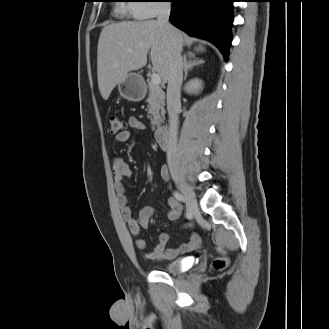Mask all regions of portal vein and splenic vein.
Returning <instances> with one entry per match:
<instances>
[{"instance_id":"portal-vein-and-splenic-vein-1","label":"portal vein and splenic vein","mask_w":329,"mask_h":329,"mask_svg":"<svg viewBox=\"0 0 329 329\" xmlns=\"http://www.w3.org/2000/svg\"><path fill=\"white\" fill-rule=\"evenodd\" d=\"M153 85L158 86L161 83V77L158 73H152L151 75V81Z\"/></svg>"}]
</instances>
